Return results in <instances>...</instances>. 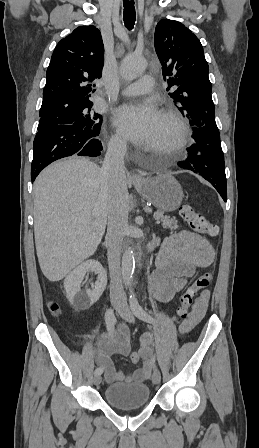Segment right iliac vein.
<instances>
[{"label":"right iliac vein","instance_id":"63e3f726","mask_svg":"<svg viewBox=\"0 0 259 448\" xmlns=\"http://www.w3.org/2000/svg\"><path fill=\"white\" fill-rule=\"evenodd\" d=\"M113 304H114V306L116 307L117 304H118V302L114 301ZM93 382H94L95 385H99V384L101 383V375H97V374H96V375L94 376Z\"/></svg>","mask_w":259,"mask_h":448}]
</instances>
